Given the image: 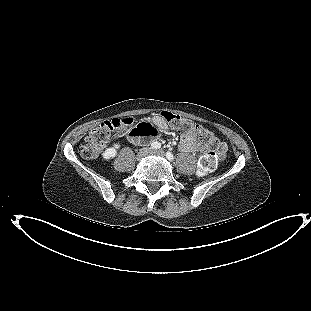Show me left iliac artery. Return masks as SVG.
I'll return each instance as SVG.
<instances>
[{"instance_id": "obj_1", "label": "left iliac artery", "mask_w": 311, "mask_h": 311, "mask_svg": "<svg viewBox=\"0 0 311 311\" xmlns=\"http://www.w3.org/2000/svg\"><path fill=\"white\" fill-rule=\"evenodd\" d=\"M166 157L170 160V161H173L174 160V156L171 152H166Z\"/></svg>"}]
</instances>
